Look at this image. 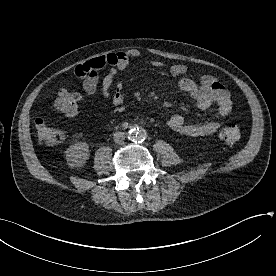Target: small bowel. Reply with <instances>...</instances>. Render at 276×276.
I'll return each instance as SVG.
<instances>
[{"mask_svg":"<svg viewBox=\"0 0 276 276\" xmlns=\"http://www.w3.org/2000/svg\"><path fill=\"white\" fill-rule=\"evenodd\" d=\"M141 52L137 49L127 51L111 52L95 57L90 61L80 64L75 69V75L83 80V90L87 95H94L98 90L100 82L99 72L108 67L107 74L101 80V93L104 98L114 105H121L124 101L122 85H118L112 91V85L119 72L125 70L133 61L141 57ZM153 67H162V62L152 60ZM187 72V67L183 64H176L170 68L173 77L180 78L179 88L189 95L201 110L216 107V117L214 120L204 122H187L181 114L172 115L168 121V126L181 134L198 137L207 136L217 132L225 123V119L232 116L233 106L227 89L212 75L204 74L198 81L183 77Z\"/></svg>","mask_w":276,"mask_h":276,"instance_id":"1","label":"small bowel"}]
</instances>
